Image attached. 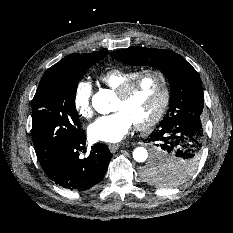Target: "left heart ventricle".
I'll return each instance as SVG.
<instances>
[{
    "label": "left heart ventricle",
    "instance_id": "1",
    "mask_svg": "<svg viewBox=\"0 0 233 233\" xmlns=\"http://www.w3.org/2000/svg\"><path fill=\"white\" fill-rule=\"evenodd\" d=\"M160 94L159 80L153 75L144 76L137 82L127 97L116 96L113 110L125 111L134 124L143 122L156 110Z\"/></svg>",
    "mask_w": 233,
    "mask_h": 233
}]
</instances>
